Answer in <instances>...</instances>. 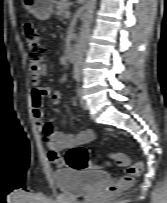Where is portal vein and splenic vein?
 Here are the masks:
<instances>
[{
    "instance_id": "18ae733b",
    "label": "portal vein and splenic vein",
    "mask_w": 167,
    "mask_h": 203,
    "mask_svg": "<svg viewBox=\"0 0 167 203\" xmlns=\"http://www.w3.org/2000/svg\"><path fill=\"white\" fill-rule=\"evenodd\" d=\"M65 17H66V18H69V17H70V12H66Z\"/></svg>"
}]
</instances>
